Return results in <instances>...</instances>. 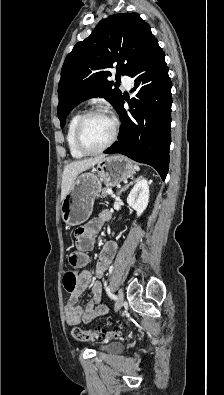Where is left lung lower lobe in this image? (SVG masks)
<instances>
[{
    "mask_svg": "<svg viewBox=\"0 0 224 395\" xmlns=\"http://www.w3.org/2000/svg\"><path fill=\"white\" fill-rule=\"evenodd\" d=\"M135 97L129 110L122 97L116 110L122 122L119 140L105 153H120L154 167L165 180L171 143V87L165 54L154 41L132 67Z\"/></svg>",
    "mask_w": 224,
    "mask_h": 395,
    "instance_id": "1",
    "label": "left lung lower lobe"
}]
</instances>
